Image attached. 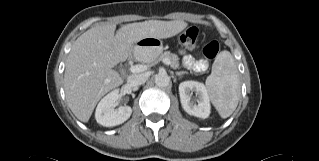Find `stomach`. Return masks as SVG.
Returning <instances> with one entry per match:
<instances>
[{
    "instance_id": "1",
    "label": "stomach",
    "mask_w": 319,
    "mask_h": 161,
    "mask_svg": "<svg viewBox=\"0 0 319 161\" xmlns=\"http://www.w3.org/2000/svg\"><path fill=\"white\" fill-rule=\"evenodd\" d=\"M162 50L163 43L159 38L148 37L135 44L133 53L139 61L151 62L161 54Z\"/></svg>"
}]
</instances>
